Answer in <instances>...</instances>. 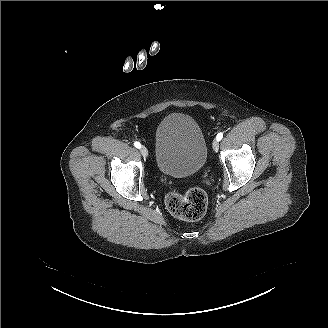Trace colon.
Returning a JSON list of instances; mask_svg holds the SVG:
<instances>
[{"label": "colon", "mask_w": 328, "mask_h": 328, "mask_svg": "<svg viewBox=\"0 0 328 328\" xmlns=\"http://www.w3.org/2000/svg\"><path fill=\"white\" fill-rule=\"evenodd\" d=\"M165 203L173 216L182 220L195 221L205 215L208 198L201 188L191 187L184 192L171 190L166 196Z\"/></svg>", "instance_id": "1"}]
</instances>
